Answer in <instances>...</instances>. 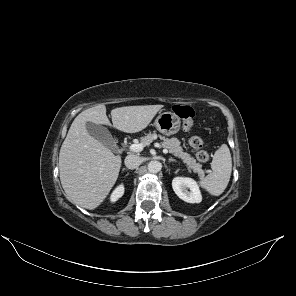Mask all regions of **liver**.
<instances>
[{
	"mask_svg": "<svg viewBox=\"0 0 296 296\" xmlns=\"http://www.w3.org/2000/svg\"><path fill=\"white\" fill-rule=\"evenodd\" d=\"M163 105L126 106L111 111L113 127L136 133L145 129ZM111 123L104 104L81 112L71 124L59 154V171L66 198L82 208L93 210L107 197L117 181L121 156L92 137L86 123Z\"/></svg>",
	"mask_w": 296,
	"mask_h": 296,
	"instance_id": "obj_1",
	"label": "liver"
}]
</instances>
